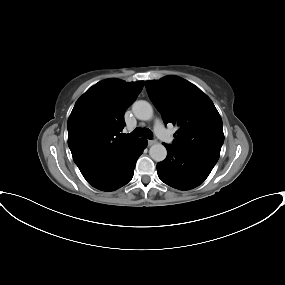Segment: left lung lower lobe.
<instances>
[{
  "label": "left lung lower lobe",
  "mask_w": 285,
  "mask_h": 285,
  "mask_svg": "<svg viewBox=\"0 0 285 285\" xmlns=\"http://www.w3.org/2000/svg\"><path fill=\"white\" fill-rule=\"evenodd\" d=\"M164 145L167 157L157 164V173L161 181L179 190H189L200 185L217 162L172 145Z\"/></svg>",
  "instance_id": "left-lung-lower-lobe-1"
}]
</instances>
